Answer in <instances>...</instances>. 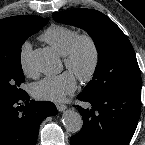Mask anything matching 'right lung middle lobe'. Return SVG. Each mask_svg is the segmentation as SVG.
<instances>
[{
  "label": "right lung middle lobe",
  "mask_w": 145,
  "mask_h": 145,
  "mask_svg": "<svg viewBox=\"0 0 145 145\" xmlns=\"http://www.w3.org/2000/svg\"><path fill=\"white\" fill-rule=\"evenodd\" d=\"M47 23L48 19L43 17L26 16L5 33L4 39L9 49L7 53L0 54V98H17L25 93L20 88L25 80L21 66V47L28 37Z\"/></svg>",
  "instance_id": "1"
}]
</instances>
